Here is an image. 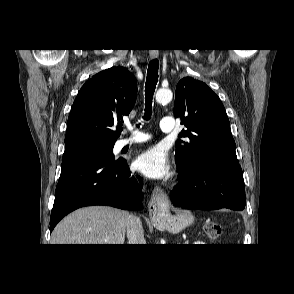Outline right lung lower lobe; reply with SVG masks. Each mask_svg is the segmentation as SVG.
Masks as SVG:
<instances>
[{"label":"right lung lower lobe","instance_id":"1","mask_svg":"<svg viewBox=\"0 0 294 294\" xmlns=\"http://www.w3.org/2000/svg\"><path fill=\"white\" fill-rule=\"evenodd\" d=\"M142 183L129 171L126 160L113 161L88 154L62 160L50 217V232L73 210L90 205L121 209L142 208Z\"/></svg>","mask_w":294,"mask_h":294}]
</instances>
